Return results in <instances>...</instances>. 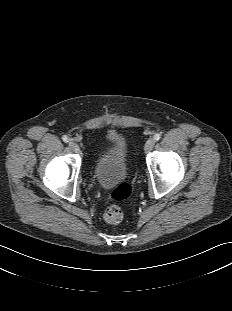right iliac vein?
I'll return each instance as SVG.
<instances>
[{
    "mask_svg": "<svg viewBox=\"0 0 232 311\" xmlns=\"http://www.w3.org/2000/svg\"><path fill=\"white\" fill-rule=\"evenodd\" d=\"M69 147L74 151V152H78L79 151V146L76 142L74 141H70L69 142Z\"/></svg>",
    "mask_w": 232,
    "mask_h": 311,
    "instance_id": "63e3f726",
    "label": "right iliac vein"
}]
</instances>
